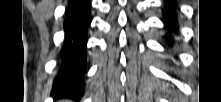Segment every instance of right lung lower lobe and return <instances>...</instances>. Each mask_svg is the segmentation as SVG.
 I'll use <instances>...</instances> for the list:
<instances>
[{
  "mask_svg": "<svg viewBox=\"0 0 221 102\" xmlns=\"http://www.w3.org/2000/svg\"><path fill=\"white\" fill-rule=\"evenodd\" d=\"M90 8L89 0H70L68 3L63 23L65 38L60 51V68L52 89V95L57 98H79L83 94Z\"/></svg>",
  "mask_w": 221,
  "mask_h": 102,
  "instance_id": "right-lung-lower-lobe-1",
  "label": "right lung lower lobe"
}]
</instances>
